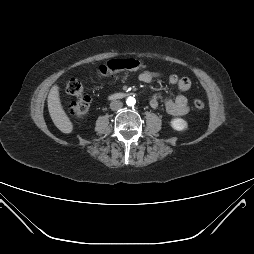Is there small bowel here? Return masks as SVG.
<instances>
[{
	"mask_svg": "<svg viewBox=\"0 0 254 254\" xmlns=\"http://www.w3.org/2000/svg\"><path fill=\"white\" fill-rule=\"evenodd\" d=\"M162 76L157 71H143L139 75V80L143 83H150L154 78ZM170 84L176 86L180 91L186 92L191 88V80L188 77H181L177 74H171L168 77ZM160 95L155 94L150 98V106L156 109L159 106ZM166 111L174 116L185 115L189 112L188 100L185 95L179 94L174 99L165 101Z\"/></svg>",
	"mask_w": 254,
	"mask_h": 254,
	"instance_id": "small-bowel-1",
	"label": "small bowel"
}]
</instances>
